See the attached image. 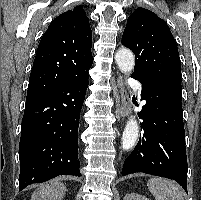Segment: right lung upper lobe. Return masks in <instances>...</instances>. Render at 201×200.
<instances>
[{"label": "right lung upper lobe", "instance_id": "cb5924a9", "mask_svg": "<svg viewBox=\"0 0 201 200\" xmlns=\"http://www.w3.org/2000/svg\"><path fill=\"white\" fill-rule=\"evenodd\" d=\"M92 31L82 6L59 15L39 43L27 95L66 84L84 74L93 63Z\"/></svg>", "mask_w": 201, "mask_h": 200}]
</instances>
